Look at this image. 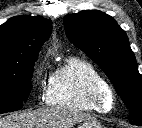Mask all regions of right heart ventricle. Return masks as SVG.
<instances>
[{
  "label": "right heart ventricle",
  "mask_w": 142,
  "mask_h": 128,
  "mask_svg": "<svg viewBox=\"0 0 142 128\" xmlns=\"http://www.w3.org/2000/svg\"><path fill=\"white\" fill-rule=\"evenodd\" d=\"M94 85L110 89L107 80L91 62L72 56L53 72L46 101L51 106L72 110L107 112L89 98Z\"/></svg>",
  "instance_id": "right-heart-ventricle-1"
}]
</instances>
